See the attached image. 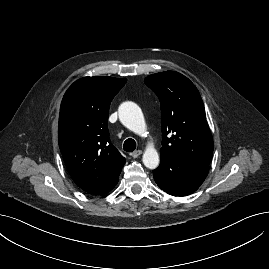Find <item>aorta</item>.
<instances>
[{
  "label": "aorta",
  "instance_id": "aorta-1",
  "mask_svg": "<svg viewBox=\"0 0 269 269\" xmlns=\"http://www.w3.org/2000/svg\"><path fill=\"white\" fill-rule=\"evenodd\" d=\"M119 119L129 130L141 135L146 130V123L140 107L133 102H124L119 107ZM143 164L149 169H155L159 165L157 150L148 146L143 153Z\"/></svg>",
  "mask_w": 269,
  "mask_h": 269
}]
</instances>
